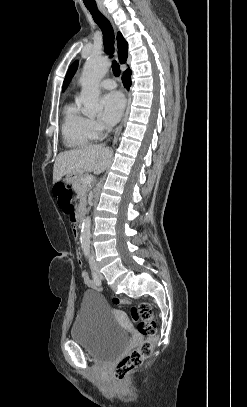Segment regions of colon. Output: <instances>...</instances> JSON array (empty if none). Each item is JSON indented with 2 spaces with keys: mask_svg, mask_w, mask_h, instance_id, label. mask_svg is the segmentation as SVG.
<instances>
[{
  "mask_svg": "<svg viewBox=\"0 0 247 407\" xmlns=\"http://www.w3.org/2000/svg\"><path fill=\"white\" fill-rule=\"evenodd\" d=\"M54 195L58 198V204L61 210L67 215L74 212L72 202V188L65 183H56L53 187ZM116 305L129 304L126 297L116 296L113 298ZM131 319L138 324V330L146 339L135 350L125 355L117 364L114 370V377L117 380H123L129 373L137 369L142 362L148 358L157 341V326L154 318L153 307L149 303H141L131 309Z\"/></svg>",
  "mask_w": 247,
  "mask_h": 407,
  "instance_id": "obj_1",
  "label": "colon"
}]
</instances>
